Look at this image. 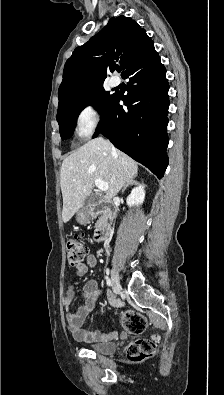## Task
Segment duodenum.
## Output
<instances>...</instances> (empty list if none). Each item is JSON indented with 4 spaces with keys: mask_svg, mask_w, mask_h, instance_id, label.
<instances>
[{
    "mask_svg": "<svg viewBox=\"0 0 224 395\" xmlns=\"http://www.w3.org/2000/svg\"><path fill=\"white\" fill-rule=\"evenodd\" d=\"M114 212H115V207L104 200H101L100 202L91 205L89 208V214L92 217L98 215L99 213H103L105 214L106 218H108ZM109 229L110 226L108 224L107 219L103 220L94 232L93 235L94 242L98 243L104 241L109 235Z\"/></svg>",
    "mask_w": 224,
    "mask_h": 395,
    "instance_id": "1",
    "label": "duodenum"
}]
</instances>
